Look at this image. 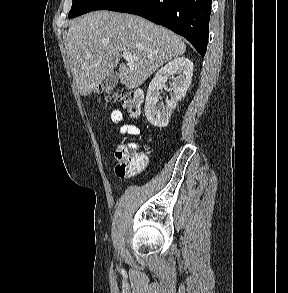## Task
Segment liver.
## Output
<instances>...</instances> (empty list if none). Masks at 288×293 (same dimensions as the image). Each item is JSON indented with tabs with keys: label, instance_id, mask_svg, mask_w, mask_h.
I'll return each instance as SVG.
<instances>
[{
	"label": "liver",
	"instance_id": "6515ba94",
	"mask_svg": "<svg viewBox=\"0 0 288 293\" xmlns=\"http://www.w3.org/2000/svg\"><path fill=\"white\" fill-rule=\"evenodd\" d=\"M66 40L73 78L83 96L111 75L123 52L138 59L121 63L118 79L125 87L135 89L163 64L186 51L182 39L170 30L136 15L106 10L74 21Z\"/></svg>",
	"mask_w": 288,
	"mask_h": 293
}]
</instances>
